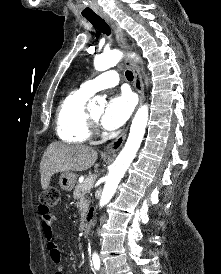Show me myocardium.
<instances>
[{"label": "myocardium", "mask_w": 221, "mask_h": 274, "mask_svg": "<svg viewBox=\"0 0 221 274\" xmlns=\"http://www.w3.org/2000/svg\"><path fill=\"white\" fill-rule=\"evenodd\" d=\"M89 120L92 127H96L98 123V119L94 118L92 114H89Z\"/></svg>", "instance_id": "1"}]
</instances>
